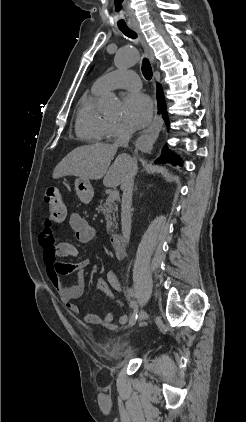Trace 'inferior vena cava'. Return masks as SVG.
<instances>
[{
	"label": "inferior vena cava",
	"instance_id": "obj_1",
	"mask_svg": "<svg viewBox=\"0 0 246 422\" xmlns=\"http://www.w3.org/2000/svg\"><path fill=\"white\" fill-rule=\"evenodd\" d=\"M132 134H133L132 129L128 127H124L120 135L116 139L114 146L128 147V143ZM129 158H130V164H132L134 160L130 156ZM135 174H136V169L130 167V169L128 170L125 176V179L123 180L121 184V188L123 190L121 223H122V233H123L125 242H129L130 234H131V204H132V193H133Z\"/></svg>",
	"mask_w": 246,
	"mask_h": 422
}]
</instances>
